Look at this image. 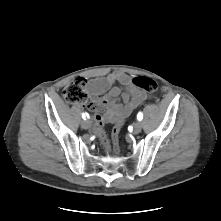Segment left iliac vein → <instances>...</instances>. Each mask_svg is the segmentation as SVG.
<instances>
[{
    "instance_id": "4c4485c4",
    "label": "left iliac vein",
    "mask_w": 221,
    "mask_h": 221,
    "mask_svg": "<svg viewBox=\"0 0 221 221\" xmlns=\"http://www.w3.org/2000/svg\"><path fill=\"white\" fill-rule=\"evenodd\" d=\"M142 130V123L140 121H137L133 126V133L139 134Z\"/></svg>"
}]
</instances>
